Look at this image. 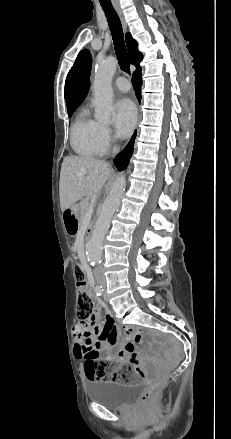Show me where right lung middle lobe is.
<instances>
[{"instance_id":"right-lung-middle-lobe-1","label":"right lung middle lobe","mask_w":231,"mask_h":439,"mask_svg":"<svg viewBox=\"0 0 231 439\" xmlns=\"http://www.w3.org/2000/svg\"><path fill=\"white\" fill-rule=\"evenodd\" d=\"M76 108L68 110V116L71 117Z\"/></svg>"}]
</instances>
